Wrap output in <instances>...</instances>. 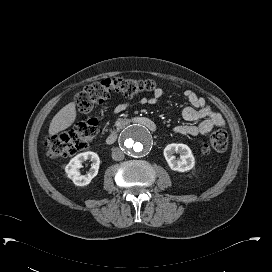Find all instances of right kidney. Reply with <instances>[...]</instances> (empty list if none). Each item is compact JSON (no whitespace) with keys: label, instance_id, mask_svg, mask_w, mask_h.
<instances>
[{"label":"right kidney","instance_id":"ca27d5eb","mask_svg":"<svg viewBox=\"0 0 272 272\" xmlns=\"http://www.w3.org/2000/svg\"><path fill=\"white\" fill-rule=\"evenodd\" d=\"M86 160H90L92 162L91 168L88 174L81 175L79 169L82 167V163ZM99 165L100 159L97 153L91 151L83 152L70 160L65 167V172L75 185L86 186L97 175Z\"/></svg>","mask_w":272,"mask_h":272}]
</instances>
